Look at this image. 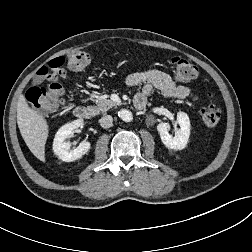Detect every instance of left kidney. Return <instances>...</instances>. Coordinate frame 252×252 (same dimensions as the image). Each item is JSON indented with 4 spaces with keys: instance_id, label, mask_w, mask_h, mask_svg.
<instances>
[{
    "instance_id": "1",
    "label": "left kidney",
    "mask_w": 252,
    "mask_h": 252,
    "mask_svg": "<svg viewBox=\"0 0 252 252\" xmlns=\"http://www.w3.org/2000/svg\"><path fill=\"white\" fill-rule=\"evenodd\" d=\"M177 122L180 129L176 132L175 136L169 133V124L166 122L157 125V131L160 135L163 144L173 150H182L186 147L190 135V120L186 113H177Z\"/></svg>"
}]
</instances>
